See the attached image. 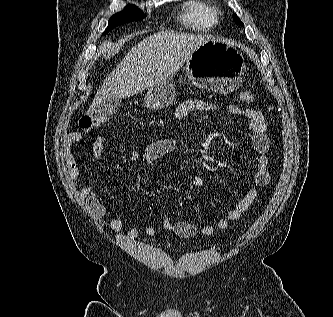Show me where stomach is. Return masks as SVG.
I'll return each instance as SVG.
<instances>
[{
    "mask_svg": "<svg viewBox=\"0 0 333 317\" xmlns=\"http://www.w3.org/2000/svg\"><path fill=\"white\" fill-rule=\"evenodd\" d=\"M246 64L242 54L230 42L212 39L198 46L186 61V73L197 87L218 94H228L243 82ZM175 88L165 80L148 89L144 98L150 110L168 107L174 100Z\"/></svg>",
    "mask_w": 333,
    "mask_h": 317,
    "instance_id": "0dacf381",
    "label": "stomach"
}]
</instances>
